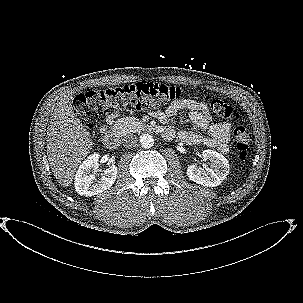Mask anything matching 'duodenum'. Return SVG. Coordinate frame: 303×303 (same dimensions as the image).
<instances>
[{
    "label": "duodenum",
    "mask_w": 303,
    "mask_h": 303,
    "mask_svg": "<svg viewBox=\"0 0 303 303\" xmlns=\"http://www.w3.org/2000/svg\"><path fill=\"white\" fill-rule=\"evenodd\" d=\"M103 141L106 147H108L109 149H116L119 146L120 138L115 132L110 131L107 132V134L104 136Z\"/></svg>",
    "instance_id": "1"
}]
</instances>
